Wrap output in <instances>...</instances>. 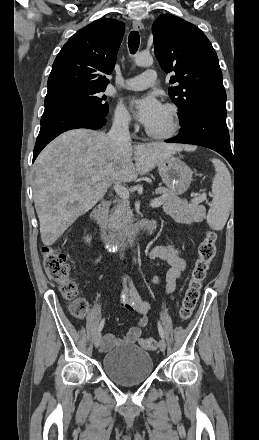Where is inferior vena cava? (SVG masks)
<instances>
[{
	"label": "inferior vena cava",
	"instance_id": "602c4592",
	"mask_svg": "<svg viewBox=\"0 0 259 440\" xmlns=\"http://www.w3.org/2000/svg\"><path fill=\"white\" fill-rule=\"evenodd\" d=\"M108 138L117 145L129 144L131 141L129 133V120L116 119L107 134ZM123 257V253L121 254Z\"/></svg>",
	"mask_w": 259,
	"mask_h": 440
}]
</instances>
